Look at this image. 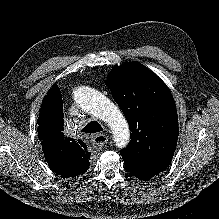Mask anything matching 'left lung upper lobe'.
<instances>
[{
  "label": "left lung upper lobe",
  "mask_w": 219,
  "mask_h": 219,
  "mask_svg": "<svg viewBox=\"0 0 219 219\" xmlns=\"http://www.w3.org/2000/svg\"><path fill=\"white\" fill-rule=\"evenodd\" d=\"M107 86L129 123L131 141L121 150L131 163L169 165L178 139L174 99L165 83L139 62L114 67Z\"/></svg>",
  "instance_id": "left-lung-upper-lobe-1"
}]
</instances>
